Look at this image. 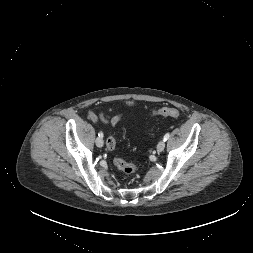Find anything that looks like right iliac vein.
Here are the masks:
<instances>
[{
	"label": "right iliac vein",
	"instance_id": "right-iliac-vein-1",
	"mask_svg": "<svg viewBox=\"0 0 253 253\" xmlns=\"http://www.w3.org/2000/svg\"><path fill=\"white\" fill-rule=\"evenodd\" d=\"M95 142H96L97 147L99 148L103 147L104 141L102 137H97Z\"/></svg>",
	"mask_w": 253,
	"mask_h": 253
}]
</instances>
